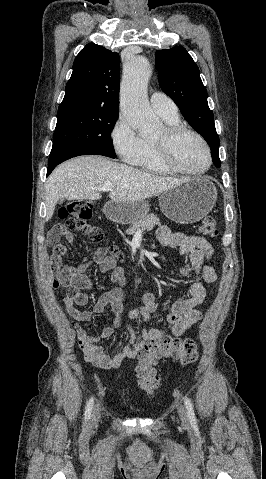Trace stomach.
Returning a JSON list of instances; mask_svg holds the SVG:
<instances>
[{
  "mask_svg": "<svg viewBox=\"0 0 266 479\" xmlns=\"http://www.w3.org/2000/svg\"><path fill=\"white\" fill-rule=\"evenodd\" d=\"M217 190L205 177L188 179L159 196V206L170 220L180 224L195 223L214 207ZM150 209L147 201H110L104 206L106 216L118 223H132L144 218Z\"/></svg>",
  "mask_w": 266,
  "mask_h": 479,
  "instance_id": "obj_1",
  "label": "stomach"
}]
</instances>
